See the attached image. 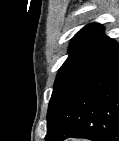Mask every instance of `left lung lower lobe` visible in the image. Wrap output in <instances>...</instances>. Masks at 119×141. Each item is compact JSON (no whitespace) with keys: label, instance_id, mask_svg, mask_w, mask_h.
Returning <instances> with one entry per match:
<instances>
[{"label":"left lung lower lobe","instance_id":"left-lung-lower-lobe-1","mask_svg":"<svg viewBox=\"0 0 119 141\" xmlns=\"http://www.w3.org/2000/svg\"><path fill=\"white\" fill-rule=\"evenodd\" d=\"M119 141V45L106 37L93 61L52 96L45 141Z\"/></svg>","mask_w":119,"mask_h":141}]
</instances>
